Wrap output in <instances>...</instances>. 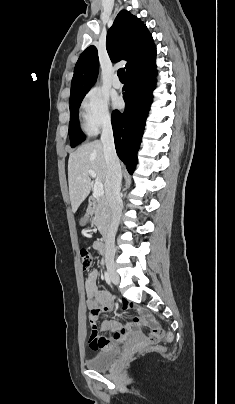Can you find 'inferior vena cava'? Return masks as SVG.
Returning a JSON list of instances; mask_svg holds the SVG:
<instances>
[{
	"instance_id": "inferior-vena-cava-1",
	"label": "inferior vena cava",
	"mask_w": 235,
	"mask_h": 404,
	"mask_svg": "<svg viewBox=\"0 0 235 404\" xmlns=\"http://www.w3.org/2000/svg\"><path fill=\"white\" fill-rule=\"evenodd\" d=\"M101 142L103 144L107 165L106 201L111 211V224L105 241L106 255L114 256L115 234L122 212V200L120 196L122 171L115 150L113 130L110 121H106L103 125Z\"/></svg>"
}]
</instances>
